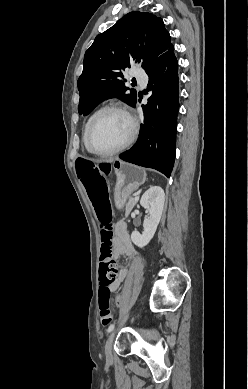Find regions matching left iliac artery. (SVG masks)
Masks as SVG:
<instances>
[{
    "label": "left iliac artery",
    "mask_w": 248,
    "mask_h": 389,
    "mask_svg": "<svg viewBox=\"0 0 248 389\" xmlns=\"http://www.w3.org/2000/svg\"><path fill=\"white\" fill-rule=\"evenodd\" d=\"M115 327V324H111L108 329H107V332L110 333Z\"/></svg>",
    "instance_id": "44dca946"
}]
</instances>
